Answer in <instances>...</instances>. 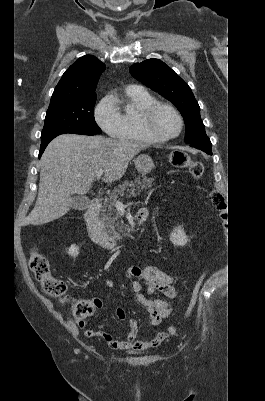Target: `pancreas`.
Here are the masks:
<instances>
[{
  "label": "pancreas",
  "mask_w": 265,
  "mask_h": 401,
  "mask_svg": "<svg viewBox=\"0 0 265 401\" xmlns=\"http://www.w3.org/2000/svg\"><path fill=\"white\" fill-rule=\"evenodd\" d=\"M153 180H155V178H148V176L136 178L134 182L133 180H124L123 184H118L117 188H113L109 198H105L100 219L103 221V225H105V229H107L111 237H114V239H122V237L126 235L125 231H127V227H124L120 221H117L119 217L117 211H115L117 198H119V196H124L125 190H127L126 196H130V194L135 196V194H138V192H136L138 188H141V190L150 188ZM136 182L138 186H136ZM130 186H133V188H130Z\"/></svg>",
  "instance_id": "pancreas-1"
}]
</instances>
